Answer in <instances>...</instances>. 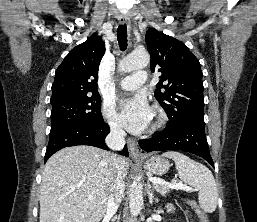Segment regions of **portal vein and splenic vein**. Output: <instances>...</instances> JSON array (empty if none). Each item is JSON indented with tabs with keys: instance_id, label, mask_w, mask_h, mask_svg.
I'll return each instance as SVG.
<instances>
[{
	"instance_id": "obj_1",
	"label": "portal vein and splenic vein",
	"mask_w": 257,
	"mask_h": 222,
	"mask_svg": "<svg viewBox=\"0 0 257 222\" xmlns=\"http://www.w3.org/2000/svg\"><path fill=\"white\" fill-rule=\"evenodd\" d=\"M149 180L154 183V184H160V185H164L170 189H182V190H192L191 188L181 184V183H169V182H166L164 180H161V179H157V178H149ZM89 200H92L93 199V196H89L88 197Z\"/></svg>"
}]
</instances>
